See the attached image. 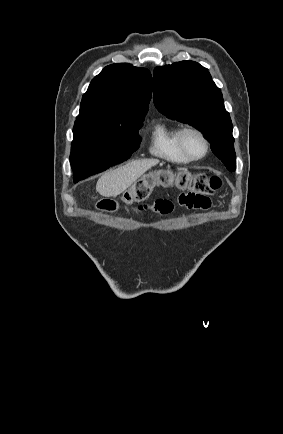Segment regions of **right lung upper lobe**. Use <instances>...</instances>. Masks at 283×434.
<instances>
[{
  "label": "right lung upper lobe",
  "instance_id": "1",
  "mask_svg": "<svg viewBox=\"0 0 283 434\" xmlns=\"http://www.w3.org/2000/svg\"><path fill=\"white\" fill-rule=\"evenodd\" d=\"M152 94V76L128 63L105 67L82 97L75 124H123L145 118Z\"/></svg>",
  "mask_w": 283,
  "mask_h": 434
}]
</instances>
